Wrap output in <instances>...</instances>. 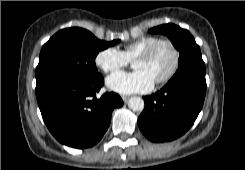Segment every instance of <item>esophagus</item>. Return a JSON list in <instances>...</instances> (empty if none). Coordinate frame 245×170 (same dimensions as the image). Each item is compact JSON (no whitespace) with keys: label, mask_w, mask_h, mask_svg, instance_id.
Returning <instances> with one entry per match:
<instances>
[{"label":"esophagus","mask_w":245,"mask_h":170,"mask_svg":"<svg viewBox=\"0 0 245 170\" xmlns=\"http://www.w3.org/2000/svg\"><path fill=\"white\" fill-rule=\"evenodd\" d=\"M129 96H122V100L124 101V102H127L128 100H129Z\"/></svg>","instance_id":"obj_1"}]
</instances>
